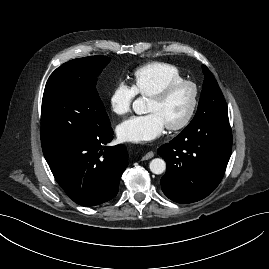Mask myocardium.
I'll use <instances>...</instances> for the list:
<instances>
[{
    "instance_id": "myocardium-1",
    "label": "myocardium",
    "mask_w": 269,
    "mask_h": 269,
    "mask_svg": "<svg viewBox=\"0 0 269 269\" xmlns=\"http://www.w3.org/2000/svg\"><path fill=\"white\" fill-rule=\"evenodd\" d=\"M181 86H189L192 89V101L186 115L183 117L182 120L177 123L166 125L167 129L171 131L181 130L191 122L196 112L199 101V89L197 84L191 80H177L166 84L160 90L149 96L151 99L163 101L167 99L175 89Z\"/></svg>"
}]
</instances>
